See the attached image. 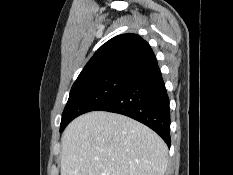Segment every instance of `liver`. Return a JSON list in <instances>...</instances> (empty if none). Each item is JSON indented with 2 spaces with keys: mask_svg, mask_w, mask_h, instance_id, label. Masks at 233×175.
Instances as JSON below:
<instances>
[{
  "mask_svg": "<svg viewBox=\"0 0 233 175\" xmlns=\"http://www.w3.org/2000/svg\"><path fill=\"white\" fill-rule=\"evenodd\" d=\"M61 143V175H164L167 169L162 138L121 114H83L66 127Z\"/></svg>",
  "mask_w": 233,
  "mask_h": 175,
  "instance_id": "liver-1",
  "label": "liver"
}]
</instances>
